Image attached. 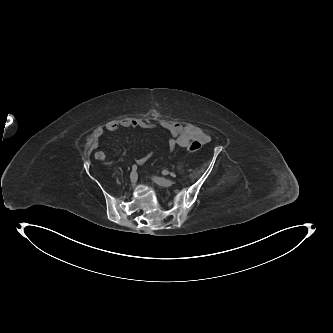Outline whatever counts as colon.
Wrapping results in <instances>:
<instances>
[{"instance_id":"1","label":"colon","mask_w":333,"mask_h":333,"mask_svg":"<svg viewBox=\"0 0 333 333\" xmlns=\"http://www.w3.org/2000/svg\"><path fill=\"white\" fill-rule=\"evenodd\" d=\"M201 147H202V143L201 142H199V141H193L190 144L189 151H191V152H197L198 150H200Z\"/></svg>"}]
</instances>
